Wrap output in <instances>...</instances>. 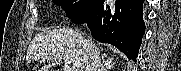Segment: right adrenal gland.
<instances>
[{"instance_id":"right-adrenal-gland-1","label":"right adrenal gland","mask_w":181,"mask_h":71,"mask_svg":"<svg viewBox=\"0 0 181 71\" xmlns=\"http://www.w3.org/2000/svg\"><path fill=\"white\" fill-rule=\"evenodd\" d=\"M113 58H109L107 55L102 57L101 71L111 70L114 63L112 62Z\"/></svg>"}]
</instances>
